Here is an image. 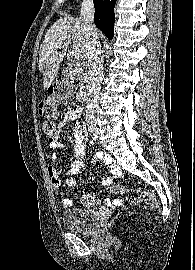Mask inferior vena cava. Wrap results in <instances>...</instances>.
<instances>
[{
    "instance_id": "obj_1",
    "label": "inferior vena cava",
    "mask_w": 195,
    "mask_h": 270,
    "mask_svg": "<svg viewBox=\"0 0 195 270\" xmlns=\"http://www.w3.org/2000/svg\"><path fill=\"white\" fill-rule=\"evenodd\" d=\"M81 20L87 33L88 43L86 57L89 75V97L87 100L86 119L90 131H98L96 115L98 113L99 94L103 81V60L101 58V44L98 33L93 25V0H83L81 5Z\"/></svg>"
}]
</instances>
